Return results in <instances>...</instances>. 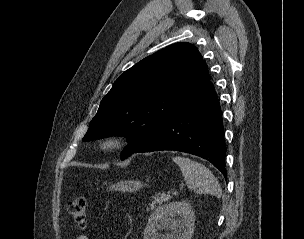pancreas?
I'll list each match as a JSON object with an SVG mask.
<instances>
[{
  "label": "pancreas",
  "mask_w": 304,
  "mask_h": 239,
  "mask_svg": "<svg viewBox=\"0 0 304 239\" xmlns=\"http://www.w3.org/2000/svg\"><path fill=\"white\" fill-rule=\"evenodd\" d=\"M170 199V196H162V195H156L155 197H153L152 202L150 203V209H155L156 206L159 204H162L163 202H166ZM149 210V208L147 209Z\"/></svg>",
  "instance_id": "1"
}]
</instances>
